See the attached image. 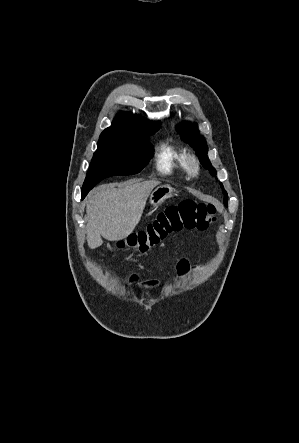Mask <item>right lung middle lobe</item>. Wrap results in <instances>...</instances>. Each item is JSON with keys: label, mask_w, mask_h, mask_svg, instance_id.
<instances>
[{"label": "right lung middle lobe", "mask_w": 299, "mask_h": 443, "mask_svg": "<svg viewBox=\"0 0 299 443\" xmlns=\"http://www.w3.org/2000/svg\"><path fill=\"white\" fill-rule=\"evenodd\" d=\"M159 127L150 126L138 133L101 137L82 187V197L105 178L140 172L153 155L149 134L155 133Z\"/></svg>", "instance_id": "obj_1"}]
</instances>
